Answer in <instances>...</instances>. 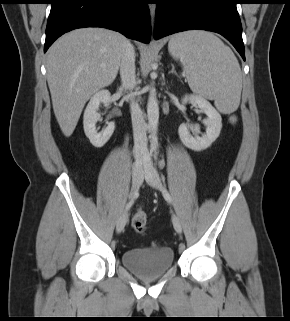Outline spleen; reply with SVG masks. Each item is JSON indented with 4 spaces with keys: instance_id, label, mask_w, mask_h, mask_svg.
<instances>
[{
    "instance_id": "spleen-1",
    "label": "spleen",
    "mask_w": 290,
    "mask_h": 321,
    "mask_svg": "<svg viewBox=\"0 0 290 321\" xmlns=\"http://www.w3.org/2000/svg\"><path fill=\"white\" fill-rule=\"evenodd\" d=\"M168 49L182 63L194 93L214 100L224 114L236 111L242 75L238 60L228 46L210 32L187 31L173 36Z\"/></svg>"
}]
</instances>
